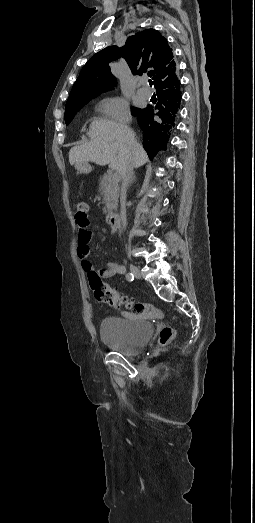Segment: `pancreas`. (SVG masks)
Here are the masks:
<instances>
[{"instance_id": "pancreas-1", "label": "pancreas", "mask_w": 255, "mask_h": 523, "mask_svg": "<svg viewBox=\"0 0 255 523\" xmlns=\"http://www.w3.org/2000/svg\"><path fill=\"white\" fill-rule=\"evenodd\" d=\"M120 178L118 174H104L99 180L100 188L99 192L102 196V202L105 204L103 208V214L110 216L114 210H117V202L119 198V182Z\"/></svg>"}]
</instances>
